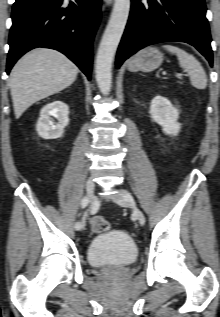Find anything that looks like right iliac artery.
<instances>
[{
	"instance_id": "1",
	"label": "right iliac artery",
	"mask_w": 220,
	"mask_h": 317,
	"mask_svg": "<svg viewBox=\"0 0 220 317\" xmlns=\"http://www.w3.org/2000/svg\"><path fill=\"white\" fill-rule=\"evenodd\" d=\"M88 203H89L88 198H87V197H84V198L82 199V201H81V207H82V208H85V207L88 205ZM75 229H76V230H80V229H81V222H77V223L75 224Z\"/></svg>"
}]
</instances>
